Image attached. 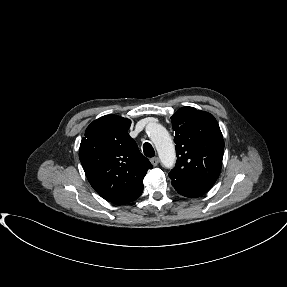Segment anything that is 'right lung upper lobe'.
I'll list each match as a JSON object with an SVG mask.
<instances>
[{"mask_svg":"<svg viewBox=\"0 0 287 287\" xmlns=\"http://www.w3.org/2000/svg\"><path fill=\"white\" fill-rule=\"evenodd\" d=\"M129 119L106 115L85 131L79 158L91 186L105 200L126 204L143 191V179L152 164L129 136Z\"/></svg>","mask_w":287,"mask_h":287,"instance_id":"obj_1","label":"right lung upper lobe"}]
</instances>
